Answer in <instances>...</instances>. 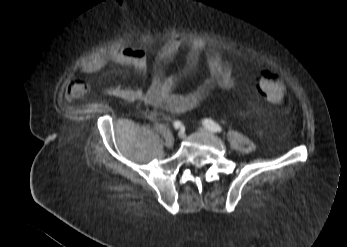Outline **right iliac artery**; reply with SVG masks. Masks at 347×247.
Masks as SVG:
<instances>
[{
  "label": "right iliac artery",
  "instance_id": "1",
  "mask_svg": "<svg viewBox=\"0 0 347 247\" xmlns=\"http://www.w3.org/2000/svg\"><path fill=\"white\" fill-rule=\"evenodd\" d=\"M181 125H182V124H181V122H180V121H175V122H174V124H173V126H174V128H175V129L180 128V127H181Z\"/></svg>",
  "mask_w": 347,
  "mask_h": 247
}]
</instances>
